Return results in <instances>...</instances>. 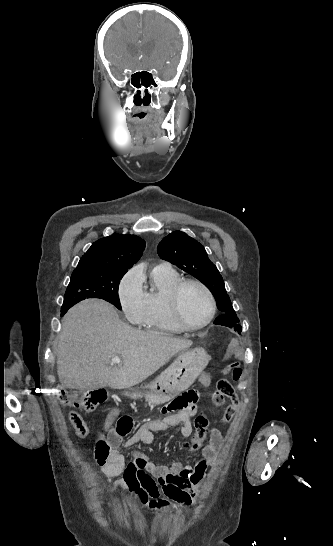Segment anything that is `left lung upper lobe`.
Listing matches in <instances>:
<instances>
[{
  "label": "left lung upper lobe",
  "instance_id": "obj_1",
  "mask_svg": "<svg viewBox=\"0 0 333 546\" xmlns=\"http://www.w3.org/2000/svg\"><path fill=\"white\" fill-rule=\"evenodd\" d=\"M158 255L200 280L215 297L223 315L237 317L217 267L204 247L181 231H174L158 245Z\"/></svg>",
  "mask_w": 333,
  "mask_h": 546
}]
</instances>
